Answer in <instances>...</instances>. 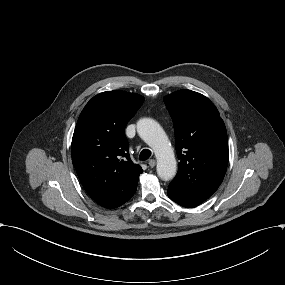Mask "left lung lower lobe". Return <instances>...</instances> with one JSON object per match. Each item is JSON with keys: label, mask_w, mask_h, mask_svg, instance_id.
I'll return each mask as SVG.
<instances>
[{"label": "left lung lower lobe", "mask_w": 285, "mask_h": 285, "mask_svg": "<svg viewBox=\"0 0 285 285\" xmlns=\"http://www.w3.org/2000/svg\"><path fill=\"white\" fill-rule=\"evenodd\" d=\"M167 194L169 198L172 199L174 202L185 207H196L203 202L201 200L192 198L182 193L180 190L171 185L168 186Z\"/></svg>", "instance_id": "obj_1"}]
</instances>
